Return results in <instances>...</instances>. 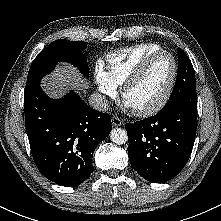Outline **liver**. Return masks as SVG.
I'll list each match as a JSON object with an SVG mask.
<instances>
[{"label":"liver","mask_w":221,"mask_h":221,"mask_svg":"<svg viewBox=\"0 0 221 221\" xmlns=\"http://www.w3.org/2000/svg\"><path fill=\"white\" fill-rule=\"evenodd\" d=\"M41 84L44 90L54 98L64 95L68 88L83 93L89 88L88 83L75 68L68 64H61L56 67L51 75L44 77Z\"/></svg>","instance_id":"obj_1"}]
</instances>
